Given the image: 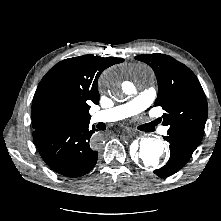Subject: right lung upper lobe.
I'll return each mask as SVG.
<instances>
[{
	"label": "right lung upper lobe",
	"instance_id": "cb5924a9",
	"mask_svg": "<svg viewBox=\"0 0 221 221\" xmlns=\"http://www.w3.org/2000/svg\"><path fill=\"white\" fill-rule=\"evenodd\" d=\"M122 58L84 55L65 59L40 81L32 101L34 130L44 127L89 122L90 104H98L97 81L108 67Z\"/></svg>",
	"mask_w": 221,
	"mask_h": 221
}]
</instances>
